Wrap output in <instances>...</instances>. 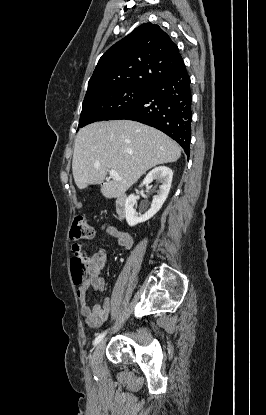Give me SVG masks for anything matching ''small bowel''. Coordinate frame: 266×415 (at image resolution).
I'll list each match as a JSON object with an SVG mask.
<instances>
[{
	"mask_svg": "<svg viewBox=\"0 0 266 415\" xmlns=\"http://www.w3.org/2000/svg\"><path fill=\"white\" fill-rule=\"evenodd\" d=\"M101 231L112 237L123 248L129 250L133 246V238L127 232L120 231L112 225H104ZM80 249V245L73 244L72 250ZM88 269V277L79 286L77 295L80 302L81 315L85 323L90 327L101 326L108 318L111 311V299L105 298L102 304L90 306L87 302V291L93 289L100 293L104 290L105 282L100 273L106 264L107 256L104 249L89 254L85 259Z\"/></svg>",
	"mask_w": 266,
	"mask_h": 415,
	"instance_id": "c3829d8e",
	"label": "small bowel"
}]
</instances>
